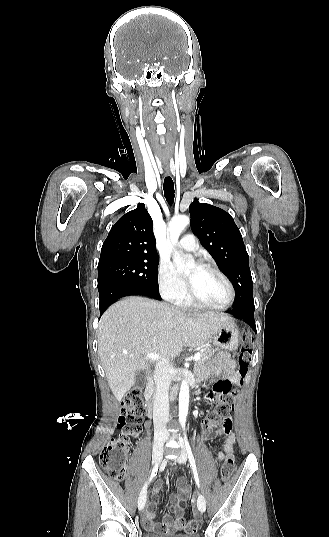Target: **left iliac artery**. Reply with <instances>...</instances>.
I'll use <instances>...</instances> for the list:
<instances>
[{"label":"left iliac artery","instance_id":"left-iliac-artery-1","mask_svg":"<svg viewBox=\"0 0 329 537\" xmlns=\"http://www.w3.org/2000/svg\"><path fill=\"white\" fill-rule=\"evenodd\" d=\"M183 434H184L186 450H187L189 461H190V466H191V468L193 470L194 478H195L196 484H197V486L199 488L200 487V482H199V476H198V472H197V468H196V464H195V459H194V456H193V453H192V450H191V447H190V444H189V441H188V438H187V434H186L185 431H184Z\"/></svg>","mask_w":329,"mask_h":537}]
</instances>
